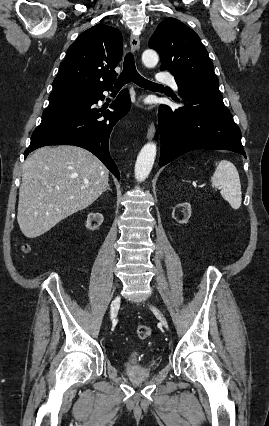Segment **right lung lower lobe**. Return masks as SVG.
<instances>
[{
	"label": "right lung lower lobe",
	"instance_id": "obj_1",
	"mask_svg": "<svg viewBox=\"0 0 269 426\" xmlns=\"http://www.w3.org/2000/svg\"><path fill=\"white\" fill-rule=\"evenodd\" d=\"M111 90L112 87L89 92V98L79 106L42 117L41 124L32 134L30 146L24 152V158L43 146L75 145L96 155L120 179L118 168L110 157L109 136L113 126L128 113L131 102L125 89L111 104L113 112L98 109L96 103L104 99L103 92Z\"/></svg>",
	"mask_w": 269,
	"mask_h": 426
}]
</instances>
